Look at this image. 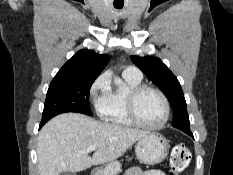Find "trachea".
I'll return each instance as SVG.
<instances>
[{"label": "trachea", "mask_w": 233, "mask_h": 175, "mask_svg": "<svg viewBox=\"0 0 233 175\" xmlns=\"http://www.w3.org/2000/svg\"><path fill=\"white\" fill-rule=\"evenodd\" d=\"M114 7H115L116 9H122V8H123V5H114Z\"/></svg>", "instance_id": "trachea-1"}]
</instances>
